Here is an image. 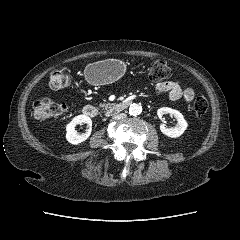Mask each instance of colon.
<instances>
[{
	"label": "colon",
	"instance_id": "obj_1",
	"mask_svg": "<svg viewBox=\"0 0 240 240\" xmlns=\"http://www.w3.org/2000/svg\"><path fill=\"white\" fill-rule=\"evenodd\" d=\"M171 75L170 68L163 61H155L149 68V77L154 81H161ZM70 83L69 75L65 68H56L50 75V86L53 89H63ZM208 109V101L202 94H197L193 110L197 118H201ZM65 105L50 98L37 100L33 105V114L37 118L51 119L63 114Z\"/></svg>",
	"mask_w": 240,
	"mask_h": 240
}]
</instances>
